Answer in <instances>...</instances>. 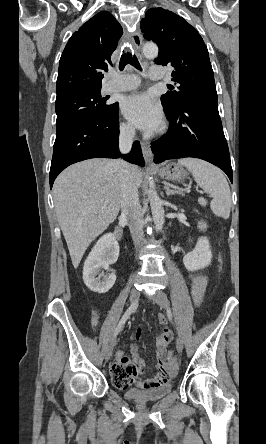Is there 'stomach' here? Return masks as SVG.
I'll list each match as a JSON object with an SVG mask.
<instances>
[{
  "label": "stomach",
  "instance_id": "obj_1",
  "mask_svg": "<svg viewBox=\"0 0 266 444\" xmlns=\"http://www.w3.org/2000/svg\"><path fill=\"white\" fill-rule=\"evenodd\" d=\"M158 174L167 180L182 181L187 177V171L177 163H169L158 170Z\"/></svg>",
  "mask_w": 266,
  "mask_h": 444
}]
</instances>
